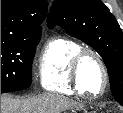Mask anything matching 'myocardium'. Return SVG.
I'll use <instances>...</instances> for the list:
<instances>
[{
	"mask_svg": "<svg viewBox=\"0 0 123 113\" xmlns=\"http://www.w3.org/2000/svg\"><path fill=\"white\" fill-rule=\"evenodd\" d=\"M86 57H93L99 64L102 76H103V85L101 90L96 94L87 93L83 87L82 80H81V65ZM70 73L72 82L75 88L84 95H87L90 98H98L104 95L106 90L108 89L109 84V75L106 63L104 62L102 56L94 49L91 48H81L76 55L73 57L70 66Z\"/></svg>",
	"mask_w": 123,
	"mask_h": 113,
	"instance_id": "myocardium-1",
	"label": "myocardium"
}]
</instances>
